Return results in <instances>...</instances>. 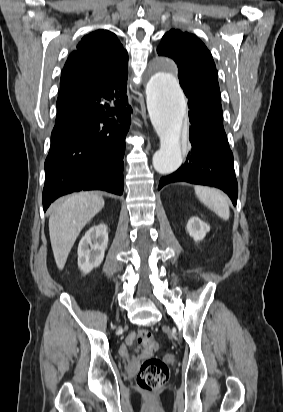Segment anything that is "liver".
<instances>
[{
	"mask_svg": "<svg viewBox=\"0 0 283 412\" xmlns=\"http://www.w3.org/2000/svg\"><path fill=\"white\" fill-rule=\"evenodd\" d=\"M103 207L104 199L93 192H81L51 206L49 235L59 270L64 268L81 230Z\"/></svg>",
	"mask_w": 283,
	"mask_h": 412,
	"instance_id": "obj_1",
	"label": "liver"
}]
</instances>
